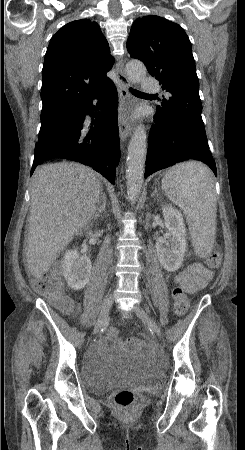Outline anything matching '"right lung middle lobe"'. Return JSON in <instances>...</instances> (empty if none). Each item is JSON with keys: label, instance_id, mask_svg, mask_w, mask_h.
Returning a JSON list of instances; mask_svg holds the SVG:
<instances>
[{"label": "right lung middle lobe", "instance_id": "obj_1", "mask_svg": "<svg viewBox=\"0 0 245 450\" xmlns=\"http://www.w3.org/2000/svg\"><path fill=\"white\" fill-rule=\"evenodd\" d=\"M63 110H55V111H46V112H41V129H44L48 124L50 119L58 114L59 112H61Z\"/></svg>", "mask_w": 245, "mask_h": 450}]
</instances>
